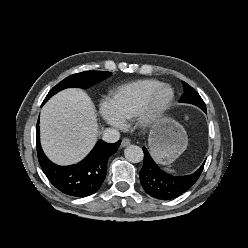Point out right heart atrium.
Wrapping results in <instances>:
<instances>
[{"mask_svg": "<svg viewBox=\"0 0 248 248\" xmlns=\"http://www.w3.org/2000/svg\"><path fill=\"white\" fill-rule=\"evenodd\" d=\"M99 113L101 118L108 125L120 129L123 127V122L119 119L114 111L110 98H103L99 104Z\"/></svg>", "mask_w": 248, "mask_h": 248, "instance_id": "1", "label": "right heart atrium"}]
</instances>
